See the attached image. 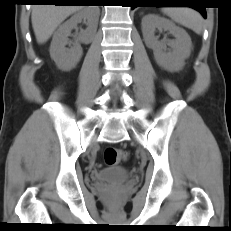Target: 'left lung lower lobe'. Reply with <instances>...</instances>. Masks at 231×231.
Wrapping results in <instances>:
<instances>
[{"label": "left lung lower lobe", "instance_id": "left-lung-lower-lobe-1", "mask_svg": "<svg viewBox=\"0 0 231 231\" xmlns=\"http://www.w3.org/2000/svg\"><path fill=\"white\" fill-rule=\"evenodd\" d=\"M163 0H134L135 6L132 7L134 9L137 6H142V7H157L156 4L161 3ZM192 6H189L190 8H194L198 10L204 18H206V10L205 7H199V4L197 3H191Z\"/></svg>", "mask_w": 231, "mask_h": 231}]
</instances>
